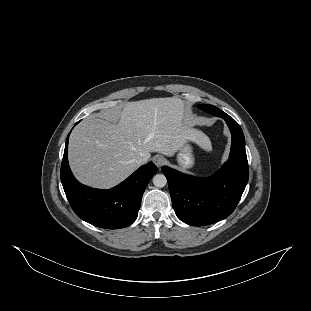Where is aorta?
Returning a JSON list of instances; mask_svg holds the SVG:
<instances>
[{
    "label": "aorta",
    "instance_id": "aorta-1",
    "mask_svg": "<svg viewBox=\"0 0 311 311\" xmlns=\"http://www.w3.org/2000/svg\"><path fill=\"white\" fill-rule=\"evenodd\" d=\"M152 182L154 186L162 188L167 184V178L164 174H156L153 176Z\"/></svg>",
    "mask_w": 311,
    "mask_h": 311
}]
</instances>
